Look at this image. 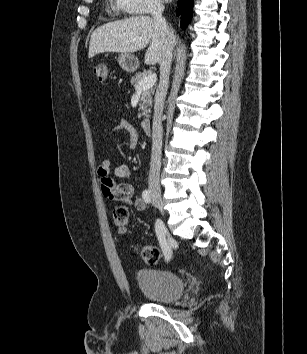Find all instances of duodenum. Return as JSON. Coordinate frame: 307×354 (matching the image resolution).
I'll use <instances>...</instances> for the list:
<instances>
[{"instance_id":"1","label":"duodenum","mask_w":307,"mask_h":354,"mask_svg":"<svg viewBox=\"0 0 307 354\" xmlns=\"http://www.w3.org/2000/svg\"><path fill=\"white\" fill-rule=\"evenodd\" d=\"M141 127L146 134L150 135L152 133V122L149 118L141 121Z\"/></svg>"}]
</instances>
